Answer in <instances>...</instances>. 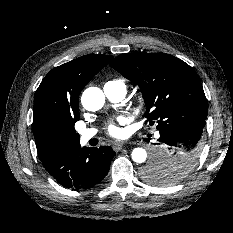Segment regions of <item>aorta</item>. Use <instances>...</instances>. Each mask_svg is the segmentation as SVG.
Masks as SVG:
<instances>
[{
    "label": "aorta",
    "instance_id": "762f6f07",
    "mask_svg": "<svg viewBox=\"0 0 233 233\" xmlns=\"http://www.w3.org/2000/svg\"><path fill=\"white\" fill-rule=\"evenodd\" d=\"M83 107L88 111H98L105 103V96L101 89L97 87L87 88L81 97ZM132 160L136 163H143L146 161L147 152L143 148H135L132 151Z\"/></svg>",
    "mask_w": 233,
    "mask_h": 233
}]
</instances>
